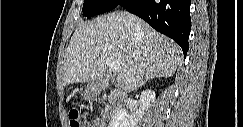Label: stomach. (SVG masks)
Here are the masks:
<instances>
[{"mask_svg":"<svg viewBox=\"0 0 243 127\" xmlns=\"http://www.w3.org/2000/svg\"><path fill=\"white\" fill-rule=\"evenodd\" d=\"M93 91H94V89L92 88V86H90V88L86 91V94H90Z\"/></svg>","mask_w":243,"mask_h":127,"instance_id":"obj_1","label":"stomach"}]
</instances>
